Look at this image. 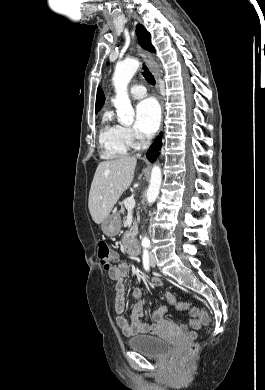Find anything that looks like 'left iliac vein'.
Returning a JSON list of instances; mask_svg holds the SVG:
<instances>
[{"mask_svg": "<svg viewBox=\"0 0 265 390\" xmlns=\"http://www.w3.org/2000/svg\"><path fill=\"white\" fill-rule=\"evenodd\" d=\"M149 256H150V265H151L152 267H154L155 264H156L155 258H154V254H153L152 252H150Z\"/></svg>", "mask_w": 265, "mask_h": 390, "instance_id": "obj_1", "label": "left iliac vein"}]
</instances>
